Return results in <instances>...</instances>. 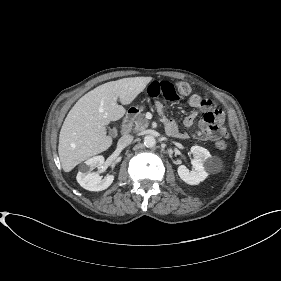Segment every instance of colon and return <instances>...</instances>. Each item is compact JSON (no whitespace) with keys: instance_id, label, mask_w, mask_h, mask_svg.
<instances>
[{"instance_id":"5ec220e1","label":"colon","mask_w":281,"mask_h":281,"mask_svg":"<svg viewBox=\"0 0 281 281\" xmlns=\"http://www.w3.org/2000/svg\"><path fill=\"white\" fill-rule=\"evenodd\" d=\"M190 93V86L186 82H177L175 84L156 81L150 84L148 88V94L152 98L163 97L168 101H177L181 97L186 96ZM205 120L208 124L209 131L221 132V124L223 121V114L217 110L208 112L205 115ZM216 147L219 149H225L227 143L225 140H218Z\"/></svg>"}]
</instances>
